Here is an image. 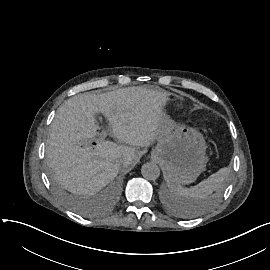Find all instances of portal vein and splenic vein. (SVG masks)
I'll return each instance as SVG.
<instances>
[{"label":"portal vein and splenic vein","instance_id":"obj_1","mask_svg":"<svg viewBox=\"0 0 270 270\" xmlns=\"http://www.w3.org/2000/svg\"><path fill=\"white\" fill-rule=\"evenodd\" d=\"M106 136H107V133L106 132H103L99 137H98V140H99V143L100 144H103L104 141L106 140Z\"/></svg>","mask_w":270,"mask_h":270}]
</instances>
